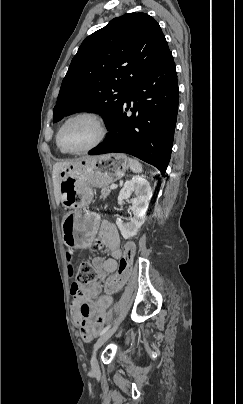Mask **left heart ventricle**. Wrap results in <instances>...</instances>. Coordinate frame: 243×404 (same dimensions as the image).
I'll use <instances>...</instances> for the list:
<instances>
[{"mask_svg": "<svg viewBox=\"0 0 243 404\" xmlns=\"http://www.w3.org/2000/svg\"><path fill=\"white\" fill-rule=\"evenodd\" d=\"M97 121L88 116L70 120L61 132L60 141L64 148L83 149L93 144L99 137Z\"/></svg>", "mask_w": 243, "mask_h": 404, "instance_id": "b2bd125f", "label": "left heart ventricle"}]
</instances>
